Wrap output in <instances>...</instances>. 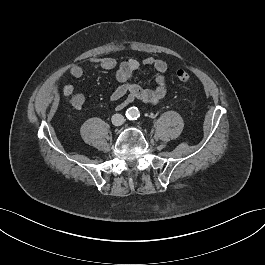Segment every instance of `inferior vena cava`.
I'll return each instance as SVG.
<instances>
[{
  "mask_svg": "<svg viewBox=\"0 0 265 265\" xmlns=\"http://www.w3.org/2000/svg\"><path fill=\"white\" fill-rule=\"evenodd\" d=\"M112 123L115 126H120L124 123V117L121 114H114L112 116Z\"/></svg>",
  "mask_w": 265,
  "mask_h": 265,
  "instance_id": "obj_1",
  "label": "inferior vena cava"
}]
</instances>
